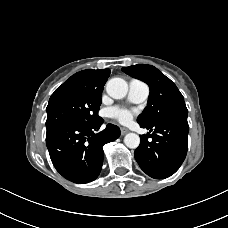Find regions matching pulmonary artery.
<instances>
[{
  "label": "pulmonary artery",
  "mask_w": 228,
  "mask_h": 228,
  "mask_svg": "<svg viewBox=\"0 0 228 228\" xmlns=\"http://www.w3.org/2000/svg\"><path fill=\"white\" fill-rule=\"evenodd\" d=\"M150 93L149 86L141 80L133 79L129 82L128 100L132 103L144 102Z\"/></svg>",
  "instance_id": "e3ab8cb5"
}]
</instances>
